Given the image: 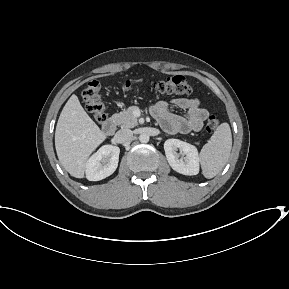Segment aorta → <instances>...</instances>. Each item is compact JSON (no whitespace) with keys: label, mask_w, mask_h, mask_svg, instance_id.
<instances>
[{"label":"aorta","mask_w":289,"mask_h":289,"mask_svg":"<svg viewBox=\"0 0 289 289\" xmlns=\"http://www.w3.org/2000/svg\"><path fill=\"white\" fill-rule=\"evenodd\" d=\"M149 135L146 133H143L139 136V140L141 143H147L149 141Z\"/></svg>","instance_id":"obj_1"}]
</instances>
